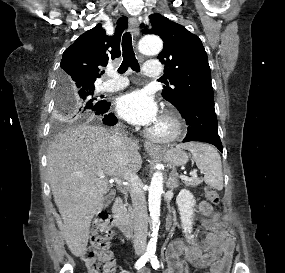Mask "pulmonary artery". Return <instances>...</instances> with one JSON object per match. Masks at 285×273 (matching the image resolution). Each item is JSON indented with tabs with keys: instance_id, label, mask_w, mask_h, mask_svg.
<instances>
[{
	"instance_id": "e3ab8cb5",
	"label": "pulmonary artery",
	"mask_w": 285,
	"mask_h": 273,
	"mask_svg": "<svg viewBox=\"0 0 285 273\" xmlns=\"http://www.w3.org/2000/svg\"><path fill=\"white\" fill-rule=\"evenodd\" d=\"M144 73L149 77H159L162 74V68L159 66L157 61H148L144 64L143 67ZM129 84L126 78H121L119 75L113 70H107V79L103 81L98 89L101 91H118L125 88Z\"/></svg>"
}]
</instances>
